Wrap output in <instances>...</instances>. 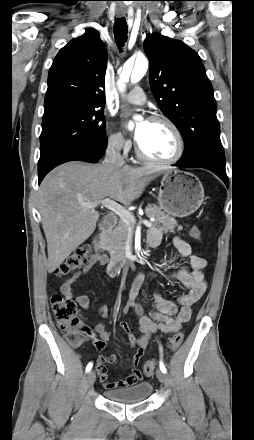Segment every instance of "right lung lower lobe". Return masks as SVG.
I'll list each match as a JSON object with an SVG mask.
<instances>
[{
  "label": "right lung lower lobe",
  "mask_w": 254,
  "mask_h": 440,
  "mask_svg": "<svg viewBox=\"0 0 254 440\" xmlns=\"http://www.w3.org/2000/svg\"><path fill=\"white\" fill-rule=\"evenodd\" d=\"M105 147H106V141L104 142L103 145H101L98 148L81 149V150H77L72 153H69L63 159H60V160L48 165L47 168L43 172L38 173L39 183L42 181V179L45 177V175L49 171H51L56 166L63 164L65 162L85 161V162H90V163H96L103 155Z\"/></svg>",
  "instance_id": "1"
}]
</instances>
